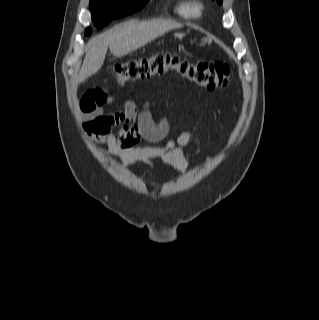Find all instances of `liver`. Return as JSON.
<instances>
[{
  "instance_id": "obj_1",
  "label": "liver",
  "mask_w": 319,
  "mask_h": 320,
  "mask_svg": "<svg viewBox=\"0 0 319 320\" xmlns=\"http://www.w3.org/2000/svg\"><path fill=\"white\" fill-rule=\"evenodd\" d=\"M181 27L180 23L163 19L144 22L131 20L93 37L87 43V52L78 76L79 82L100 70L108 46L115 57H122L145 46L168 31Z\"/></svg>"
}]
</instances>
